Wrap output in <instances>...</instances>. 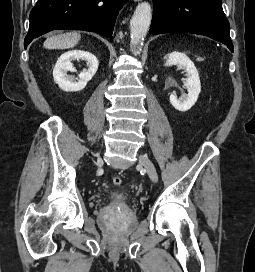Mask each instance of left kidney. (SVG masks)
<instances>
[{
	"label": "left kidney",
	"mask_w": 255,
	"mask_h": 272,
	"mask_svg": "<svg viewBox=\"0 0 255 272\" xmlns=\"http://www.w3.org/2000/svg\"><path fill=\"white\" fill-rule=\"evenodd\" d=\"M164 59H166L165 66L177 65L186 72L187 79L184 83L187 85L188 94L179 99L173 94L170 95L172 106L178 111L186 112L196 103L201 91L198 71L194 63L183 53L173 52L166 55Z\"/></svg>",
	"instance_id": "obj_1"
}]
</instances>
